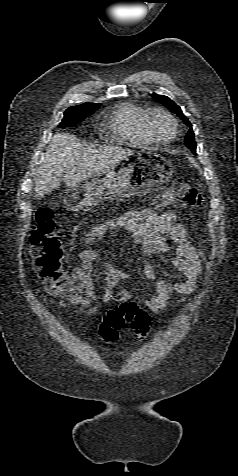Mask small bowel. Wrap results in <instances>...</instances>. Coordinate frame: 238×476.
<instances>
[{
    "mask_svg": "<svg viewBox=\"0 0 238 476\" xmlns=\"http://www.w3.org/2000/svg\"><path fill=\"white\" fill-rule=\"evenodd\" d=\"M175 219L176 215L171 212L158 214L149 209L130 210L103 223H94L85 234L83 244L89 245L108 231L125 230L131 241L139 247L144 277L155 283L154 294L149 297L135 299L128 291L115 292V289L130 277V273L113 267L108 259H101L92 249H84L79 253L82 266L75 273L81 278L80 284L70 290L50 291L61 297L60 306H78L79 311L86 317L96 315L99 306L95 303L90 270L93 264L100 263L104 269L103 301L106 303L137 302L149 311L158 313L166 307L173 294L182 295V301H185L196 290L201 274L202 253L189 241L186 227L175 223ZM171 250L173 255L170 264L183 274L184 279H160L149 261L151 255L163 257Z\"/></svg>",
    "mask_w": 238,
    "mask_h": 476,
    "instance_id": "obj_1",
    "label": "small bowel"
}]
</instances>
